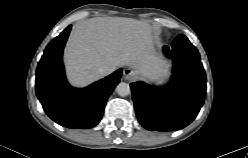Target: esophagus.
Returning a JSON list of instances; mask_svg holds the SVG:
<instances>
[{"label":"esophagus","instance_id":"obj_1","mask_svg":"<svg viewBox=\"0 0 248 158\" xmlns=\"http://www.w3.org/2000/svg\"><path fill=\"white\" fill-rule=\"evenodd\" d=\"M123 76L126 80H133L136 77V72L133 69L127 68L123 71Z\"/></svg>","mask_w":248,"mask_h":158}]
</instances>
